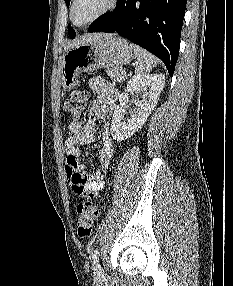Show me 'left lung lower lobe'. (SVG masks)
Instances as JSON below:
<instances>
[{
    "instance_id": "0a47b994",
    "label": "left lung lower lobe",
    "mask_w": 233,
    "mask_h": 286,
    "mask_svg": "<svg viewBox=\"0 0 233 286\" xmlns=\"http://www.w3.org/2000/svg\"><path fill=\"white\" fill-rule=\"evenodd\" d=\"M185 9L186 0H118L89 31L117 32L160 58L173 76Z\"/></svg>"
}]
</instances>
